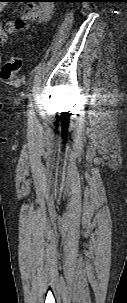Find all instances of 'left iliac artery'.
Returning <instances> with one entry per match:
<instances>
[{
    "instance_id": "1",
    "label": "left iliac artery",
    "mask_w": 127,
    "mask_h": 303,
    "mask_svg": "<svg viewBox=\"0 0 127 303\" xmlns=\"http://www.w3.org/2000/svg\"><path fill=\"white\" fill-rule=\"evenodd\" d=\"M28 117H29V119H31V120H34V118H35V113H34V109H33V104H32V102H30V104H29V108H28Z\"/></svg>"
}]
</instances>
